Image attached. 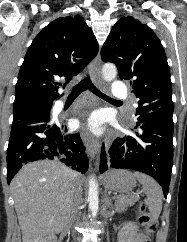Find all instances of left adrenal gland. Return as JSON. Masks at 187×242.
Masks as SVG:
<instances>
[{
	"label": "left adrenal gland",
	"mask_w": 187,
	"mask_h": 242,
	"mask_svg": "<svg viewBox=\"0 0 187 242\" xmlns=\"http://www.w3.org/2000/svg\"><path fill=\"white\" fill-rule=\"evenodd\" d=\"M104 205H105L106 207H109V208H112V207H113L112 199L109 197L108 194H105Z\"/></svg>",
	"instance_id": "left-adrenal-gland-1"
}]
</instances>
